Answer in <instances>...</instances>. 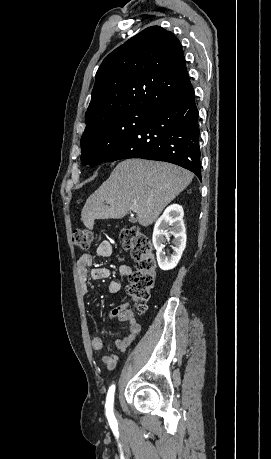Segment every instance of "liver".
<instances>
[{"label":"liver","instance_id":"1","mask_svg":"<svg viewBox=\"0 0 271 459\" xmlns=\"http://www.w3.org/2000/svg\"><path fill=\"white\" fill-rule=\"evenodd\" d=\"M192 180L191 172L173 164L124 160L86 200L82 222L93 229L94 220H120L132 210L141 226H150Z\"/></svg>","mask_w":271,"mask_h":459}]
</instances>
